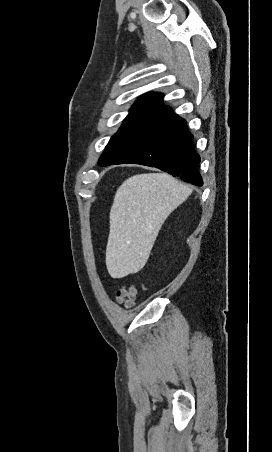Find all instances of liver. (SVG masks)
I'll list each match as a JSON object with an SVG mask.
<instances>
[{"label": "liver", "mask_w": 272, "mask_h": 452, "mask_svg": "<svg viewBox=\"0 0 272 452\" xmlns=\"http://www.w3.org/2000/svg\"><path fill=\"white\" fill-rule=\"evenodd\" d=\"M191 189L166 173H145L125 180L110 210L106 266L112 278L139 272L146 264L167 217Z\"/></svg>", "instance_id": "6515ba94"}]
</instances>
